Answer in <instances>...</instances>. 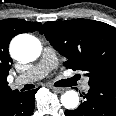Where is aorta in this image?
<instances>
[{"label": "aorta", "mask_w": 116, "mask_h": 116, "mask_svg": "<svg viewBox=\"0 0 116 116\" xmlns=\"http://www.w3.org/2000/svg\"><path fill=\"white\" fill-rule=\"evenodd\" d=\"M40 41L29 34L16 36L10 44V53L12 57L22 63L35 60L41 53ZM61 103L66 109H75L79 105L78 93L69 90L61 96Z\"/></svg>", "instance_id": "obj_1"}]
</instances>
